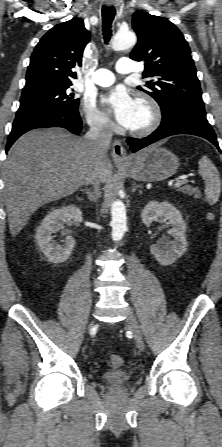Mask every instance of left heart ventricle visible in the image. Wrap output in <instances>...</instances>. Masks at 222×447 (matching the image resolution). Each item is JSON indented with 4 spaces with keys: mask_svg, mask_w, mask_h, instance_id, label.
<instances>
[{
    "mask_svg": "<svg viewBox=\"0 0 222 447\" xmlns=\"http://www.w3.org/2000/svg\"><path fill=\"white\" fill-rule=\"evenodd\" d=\"M148 120L147 109L138 103H136L135 113L132 123L129 128H135L144 125Z\"/></svg>",
    "mask_w": 222,
    "mask_h": 447,
    "instance_id": "obj_1",
    "label": "left heart ventricle"
}]
</instances>
